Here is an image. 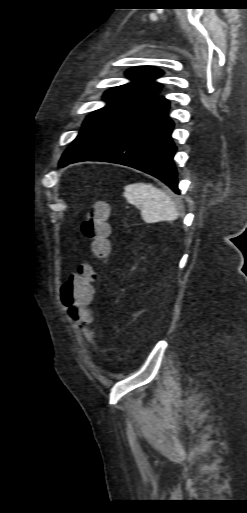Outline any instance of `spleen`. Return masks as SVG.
Masks as SVG:
<instances>
[{
  "label": "spleen",
  "mask_w": 247,
  "mask_h": 513,
  "mask_svg": "<svg viewBox=\"0 0 247 513\" xmlns=\"http://www.w3.org/2000/svg\"><path fill=\"white\" fill-rule=\"evenodd\" d=\"M123 196L141 210L146 222L169 221L178 216L177 207L170 196L152 184H128L124 187Z\"/></svg>",
  "instance_id": "3e777b00"
}]
</instances>
